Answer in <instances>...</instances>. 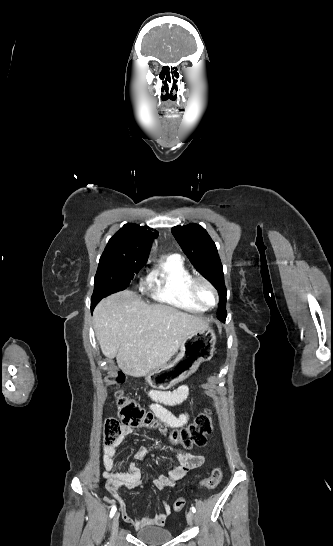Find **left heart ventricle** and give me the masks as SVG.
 Returning a JSON list of instances; mask_svg holds the SVG:
<instances>
[{
  "label": "left heart ventricle",
  "instance_id": "1",
  "mask_svg": "<svg viewBox=\"0 0 333 546\" xmlns=\"http://www.w3.org/2000/svg\"><path fill=\"white\" fill-rule=\"evenodd\" d=\"M196 291L199 295V297L208 305H212L214 303V293L212 290L207 287L206 285L199 283L196 286Z\"/></svg>",
  "mask_w": 333,
  "mask_h": 546
}]
</instances>
